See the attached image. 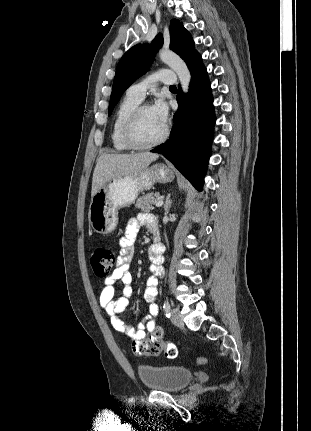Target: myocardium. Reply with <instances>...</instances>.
Returning <instances> with one entry per match:
<instances>
[{"instance_id": "obj_1", "label": "myocardium", "mask_w": 311, "mask_h": 431, "mask_svg": "<svg viewBox=\"0 0 311 431\" xmlns=\"http://www.w3.org/2000/svg\"><path fill=\"white\" fill-rule=\"evenodd\" d=\"M148 104L140 103L127 117L124 124V136L127 142L134 148L147 149L155 147L164 142L169 134V129L165 126L162 135L152 141H145L139 135V124Z\"/></svg>"}]
</instances>
